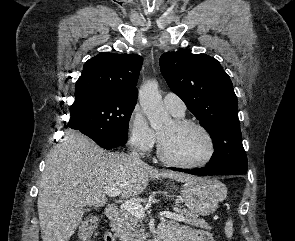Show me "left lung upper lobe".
I'll return each mask as SVG.
<instances>
[{
    "label": "left lung upper lobe",
    "instance_id": "left-lung-upper-lobe-1",
    "mask_svg": "<svg viewBox=\"0 0 295 241\" xmlns=\"http://www.w3.org/2000/svg\"><path fill=\"white\" fill-rule=\"evenodd\" d=\"M170 89L195 115L212 138L214 153L207 166L246 173L237 96L219 62L186 50L164 53L159 60Z\"/></svg>",
    "mask_w": 295,
    "mask_h": 241
}]
</instances>
